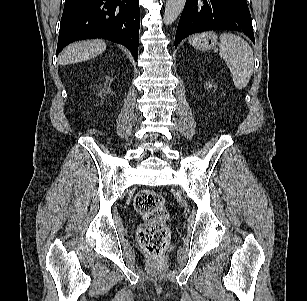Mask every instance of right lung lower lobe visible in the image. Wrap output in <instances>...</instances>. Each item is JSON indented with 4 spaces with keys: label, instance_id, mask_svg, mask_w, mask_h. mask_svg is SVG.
<instances>
[{
    "label": "right lung lower lobe",
    "instance_id": "1",
    "mask_svg": "<svg viewBox=\"0 0 307 301\" xmlns=\"http://www.w3.org/2000/svg\"><path fill=\"white\" fill-rule=\"evenodd\" d=\"M139 27V0H66L56 54L73 41L104 38L126 46L137 60Z\"/></svg>",
    "mask_w": 307,
    "mask_h": 301
}]
</instances>
